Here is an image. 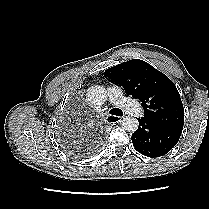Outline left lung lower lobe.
<instances>
[{"label":"left lung lower lobe","instance_id":"1","mask_svg":"<svg viewBox=\"0 0 209 209\" xmlns=\"http://www.w3.org/2000/svg\"><path fill=\"white\" fill-rule=\"evenodd\" d=\"M138 121L139 127L131 139L135 149L148 157H159L168 153L177 144L182 132L160 127L144 118H138Z\"/></svg>","mask_w":209,"mask_h":209}]
</instances>
